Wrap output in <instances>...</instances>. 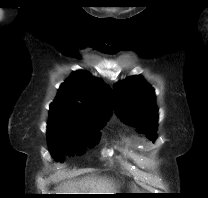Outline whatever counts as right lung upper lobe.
Listing matches in <instances>:
<instances>
[{"label": "right lung upper lobe", "mask_w": 208, "mask_h": 198, "mask_svg": "<svg viewBox=\"0 0 208 198\" xmlns=\"http://www.w3.org/2000/svg\"><path fill=\"white\" fill-rule=\"evenodd\" d=\"M114 103L108 85L88 72L77 71L60 86L49 113L102 120L109 118Z\"/></svg>", "instance_id": "cb5924a9"}]
</instances>
